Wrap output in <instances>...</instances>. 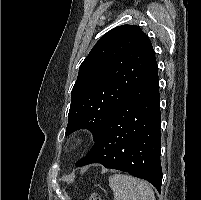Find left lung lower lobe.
<instances>
[{"instance_id": "1", "label": "left lung lower lobe", "mask_w": 201, "mask_h": 200, "mask_svg": "<svg viewBox=\"0 0 201 200\" xmlns=\"http://www.w3.org/2000/svg\"><path fill=\"white\" fill-rule=\"evenodd\" d=\"M160 96L155 67L114 108L76 167L100 163L145 179L160 193Z\"/></svg>"}]
</instances>
